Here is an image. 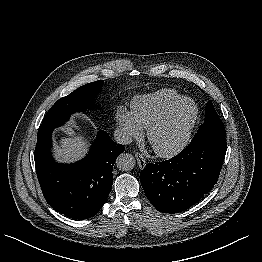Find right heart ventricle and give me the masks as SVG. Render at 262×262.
I'll return each instance as SVG.
<instances>
[{
	"instance_id": "obj_1",
	"label": "right heart ventricle",
	"mask_w": 262,
	"mask_h": 262,
	"mask_svg": "<svg viewBox=\"0 0 262 262\" xmlns=\"http://www.w3.org/2000/svg\"><path fill=\"white\" fill-rule=\"evenodd\" d=\"M184 98L173 89H161L137 96L132 102L131 113L142 129L148 128L168 107Z\"/></svg>"
}]
</instances>
